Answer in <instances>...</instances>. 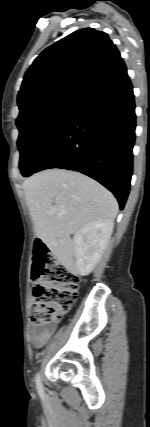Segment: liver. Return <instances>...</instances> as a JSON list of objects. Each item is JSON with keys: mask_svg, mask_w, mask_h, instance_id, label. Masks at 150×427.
<instances>
[{"mask_svg": "<svg viewBox=\"0 0 150 427\" xmlns=\"http://www.w3.org/2000/svg\"><path fill=\"white\" fill-rule=\"evenodd\" d=\"M23 189L35 235L66 267L73 266L70 235L91 222L113 221L119 209L110 191L71 170L38 172L23 182Z\"/></svg>", "mask_w": 150, "mask_h": 427, "instance_id": "1", "label": "liver"}]
</instances>
